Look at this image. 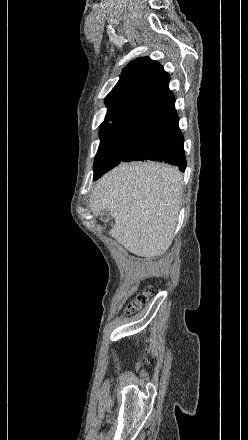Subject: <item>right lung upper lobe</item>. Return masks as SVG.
<instances>
[{
    "mask_svg": "<svg viewBox=\"0 0 248 440\" xmlns=\"http://www.w3.org/2000/svg\"><path fill=\"white\" fill-rule=\"evenodd\" d=\"M170 77L149 57L128 64L105 99L108 107L100 125L101 141L121 131H132L143 121L175 103L169 90Z\"/></svg>",
    "mask_w": 248,
    "mask_h": 440,
    "instance_id": "1",
    "label": "right lung upper lobe"
}]
</instances>
